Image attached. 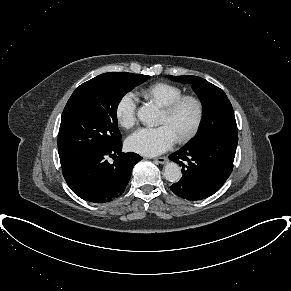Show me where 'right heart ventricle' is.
Instances as JSON below:
<instances>
[{"instance_id": "e07e8e85", "label": "right heart ventricle", "mask_w": 291, "mask_h": 291, "mask_svg": "<svg viewBox=\"0 0 291 291\" xmlns=\"http://www.w3.org/2000/svg\"><path fill=\"white\" fill-rule=\"evenodd\" d=\"M140 94L149 99L161 107H165L175 99L183 95V91L180 87L166 83L159 82L150 85L140 91Z\"/></svg>"}]
</instances>
